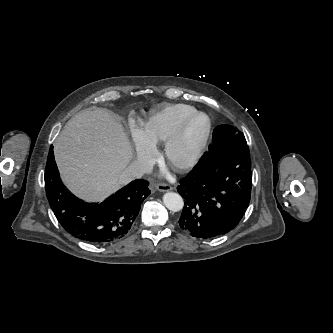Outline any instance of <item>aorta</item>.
Segmentation results:
<instances>
[{
  "label": "aorta",
  "mask_w": 333,
  "mask_h": 333,
  "mask_svg": "<svg viewBox=\"0 0 333 333\" xmlns=\"http://www.w3.org/2000/svg\"><path fill=\"white\" fill-rule=\"evenodd\" d=\"M164 205L173 212H178L182 210L184 206V201L182 197L174 192H167L163 196Z\"/></svg>",
  "instance_id": "1"
}]
</instances>
